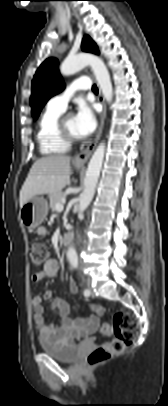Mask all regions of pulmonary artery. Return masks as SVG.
I'll use <instances>...</instances> for the list:
<instances>
[{
    "label": "pulmonary artery",
    "instance_id": "obj_1",
    "mask_svg": "<svg viewBox=\"0 0 168 406\" xmlns=\"http://www.w3.org/2000/svg\"><path fill=\"white\" fill-rule=\"evenodd\" d=\"M90 88V79L88 77H80L68 85L64 92L52 97L48 102V106L65 111L70 98L76 91L88 90Z\"/></svg>",
    "mask_w": 168,
    "mask_h": 406
}]
</instances>
